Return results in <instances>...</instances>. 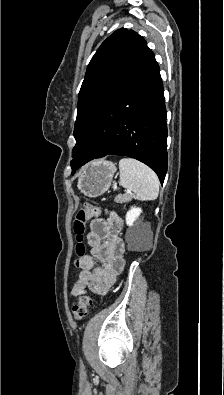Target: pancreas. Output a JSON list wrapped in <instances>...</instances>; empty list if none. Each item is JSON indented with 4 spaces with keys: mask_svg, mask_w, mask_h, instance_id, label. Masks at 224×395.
Wrapping results in <instances>:
<instances>
[{
    "mask_svg": "<svg viewBox=\"0 0 224 395\" xmlns=\"http://www.w3.org/2000/svg\"><path fill=\"white\" fill-rule=\"evenodd\" d=\"M131 200V196L128 194H119L116 198L115 201L118 203H125Z\"/></svg>",
    "mask_w": 224,
    "mask_h": 395,
    "instance_id": "obj_1",
    "label": "pancreas"
}]
</instances>
